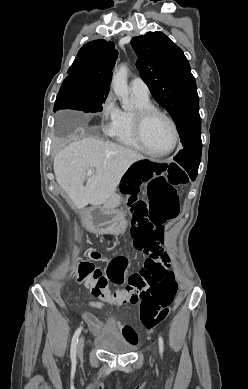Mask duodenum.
<instances>
[{"label":"duodenum","mask_w":248,"mask_h":389,"mask_svg":"<svg viewBox=\"0 0 248 389\" xmlns=\"http://www.w3.org/2000/svg\"><path fill=\"white\" fill-rule=\"evenodd\" d=\"M89 213H91V212H87V213L84 214V216L82 217L83 221H85V222H89V221H90V220L88 219V217H87ZM90 227H91L93 230H95V226H92V225L90 224Z\"/></svg>","instance_id":"duodenum-1"}]
</instances>
